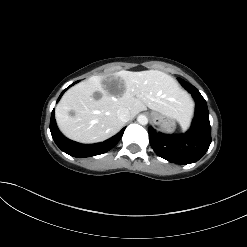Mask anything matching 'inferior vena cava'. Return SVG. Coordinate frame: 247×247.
Here are the masks:
<instances>
[{
  "label": "inferior vena cava",
  "mask_w": 247,
  "mask_h": 247,
  "mask_svg": "<svg viewBox=\"0 0 247 247\" xmlns=\"http://www.w3.org/2000/svg\"><path fill=\"white\" fill-rule=\"evenodd\" d=\"M117 117L122 122H127L131 118L130 111L127 108H120L117 111Z\"/></svg>",
  "instance_id": "obj_1"
}]
</instances>
